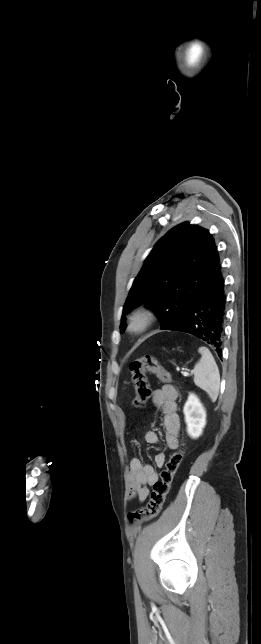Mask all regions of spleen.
Here are the masks:
<instances>
[{
  "label": "spleen",
  "instance_id": "3e777b00",
  "mask_svg": "<svg viewBox=\"0 0 261 644\" xmlns=\"http://www.w3.org/2000/svg\"><path fill=\"white\" fill-rule=\"evenodd\" d=\"M198 352L201 354V359L194 366V383L207 392L210 399L214 402L219 394V370L208 348L200 347Z\"/></svg>",
  "mask_w": 261,
  "mask_h": 644
}]
</instances>
